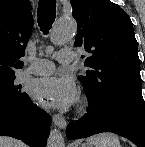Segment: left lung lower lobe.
<instances>
[{
    "mask_svg": "<svg viewBox=\"0 0 145 147\" xmlns=\"http://www.w3.org/2000/svg\"><path fill=\"white\" fill-rule=\"evenodd\" d=\"M101 132H112L145 147V104L141 89L120 93L101 104H89L87 113L67 128L68 139H80Z\"/></svg>",
    "mask_w": 145,
    "mask_h": 147,
    "instance_id": "obj_1",
    "label": "left lung lower lobe"
}]
</instances>
